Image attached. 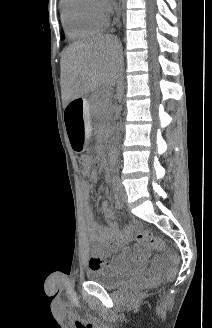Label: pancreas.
Wrapping results in <instances>:
<instances>
[{
    "label": "pancreas",
    "mask_w": 212,
    "mask_h": 328,
    "mask_svg": "<svg viewBox=\"0 0 212 328\" xmlns=\"http://www.w3.org/2000/svg\"><path fill=\"white\" fill-rule=\"evenodd\" d=\"M110 101L107 95L103 91H97L93 96L92 107L99 115H107Z\"/></svg>",
    "instance_id": "cf45deb5"
}]
</instances>
